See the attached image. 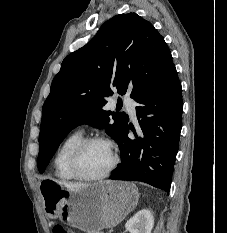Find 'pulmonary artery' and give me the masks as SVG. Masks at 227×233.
<instances>
[{
  "label": "pulmonary artery",
  "instance_id": "e3ab8cb5",
  "mask_svg": "<svg viewBox=\"0 0 227 233\" xmlns=\"http://www.w3.org/2000/svg\"><path fill=\"white\" fill-rule=\"evenodd\" d=\"M124 105L129 115L133 119H135L136 118V103L130 98H124Z\"/></svg>",
  "mask_w": 227,
  "mask_h": 233
}]
</instances>
